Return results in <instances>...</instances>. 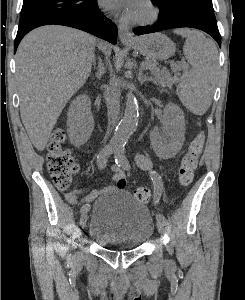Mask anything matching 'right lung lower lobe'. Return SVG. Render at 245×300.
Returning <instances> with one entry per match:
<instances>
[{
  "label": "right lung lower lobe",
  "mask_w": 245,
  "mask_h": 300,
  "mask_svg": "<svg viewBox=\"0 0 245 300\" xmlns=\"http://www.w3.org/2000/svg\"><path fill=\"white\" fill-rule=\"evenodd\" d=\"M64 25L77 28L91 33L99 38L116 44L117 27L116 25L100 11L98 5L87 10L84 13H67L54 16L36 23L18 28L17 36L14 42V52L19 45L21 39L32 29L43 25Z\"/></svg>",
  "instance_id": "98d812e1"
}]
</instances>
